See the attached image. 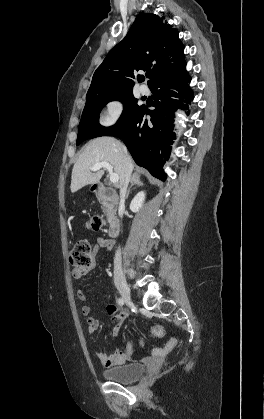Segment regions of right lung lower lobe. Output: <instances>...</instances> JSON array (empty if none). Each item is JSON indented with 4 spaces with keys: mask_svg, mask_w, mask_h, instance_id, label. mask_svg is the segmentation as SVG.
I'll use <instances>...</instances> for the list:
<instances>
[{
    "mask_svg": "<svg viewBox=\"0 0 264 419\" xmlns=\"http://www.w3.org/2000/svg\"><path fill=\"white\" fill-rule=\"evenodd\" d=\"M187 72L176 73L157 80L151 87L155 94L153 110L140 106L129 117L105 136H117L124 140L135 162L146 168L153 176L164 181L167 177L162 167L170 155V145L175 138L172 123L174 111L184 105L179 103L193 98L187 83ZM179 99V100H177ZM145 115H150L147 120Z\"/></svg>",
    "mask_w": 264,
    "mask_h": 419,
    "instance_id": "obj_1",
    "label": "right lung lower lobe"
}]
</instances>
